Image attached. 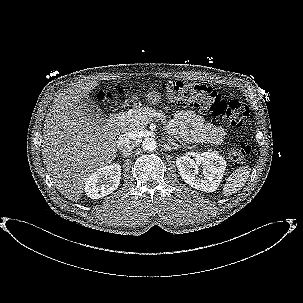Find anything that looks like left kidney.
Here are the masks:
<instances>
[{"label":"left kidney","instance_id":"obj_1","mask_svg":"<svg viewBox=\"0 0 303 303\" xmlns=\"http://www.w3.org/2000/svg\"><path fill=\"white\" fill-rule=\"evenodd\" d=\"M176 165L182 179L191 187L213 192L217 190L221 183L223 173L226 168V161L216 153L203 152L191 159L189 156H180L176 160ZM203 165L206 169L204 176L198 173V166Z\"/></svg>","mask_w":303,"mask_h":303}]
</instances>
